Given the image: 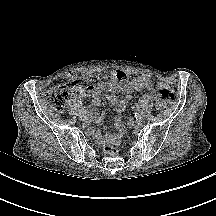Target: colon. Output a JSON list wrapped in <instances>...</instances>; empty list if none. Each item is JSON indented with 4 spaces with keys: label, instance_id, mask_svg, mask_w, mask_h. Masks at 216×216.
Instances as JSON below:
<instances>
[{
    "label": "colon",
    "instance_id": "1",
    "mask_svg": "<svg viewBox=\"0 0 216 216\" xmlns=\"http://www.w3.org/2000/svg\"><path fill=\"white\" fill-rule=\"evenodd\" d=\"M83 87L84 81L77 75L73 74L65 78L64 81L57 87L47 91L43 96V100L50 108L57 111H62L69 99ZM158 94L166 106H169L173 103L174 92L169 86L160 87ZM104 152L109 155H117L118 153L117 149L111 145L105 146Z\"/></svg>",
    "mask_w": 216,
    "mask_h": 216
}]
</instances>
